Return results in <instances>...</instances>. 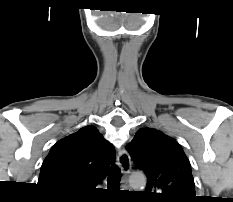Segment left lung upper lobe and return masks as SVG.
<instances>
[{
  "label": "left lung upper lobe",
  "instance_id": "1",
  "mask_svg": "<svg viewBox=\"0 0 233 202\" xmlns=\"http://www.w3.org/2000/svg\"><path fill=\"white\" fill-rule=\"evenodd\" d=\"M126 149L136 167L147 175L145 194L149 201H196L190 162L173 138L156 129L144 128Z\"/></svg>",
  "mask_w": 233,
  "mask_h": 202
}]
</instances>
